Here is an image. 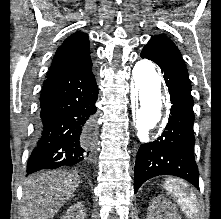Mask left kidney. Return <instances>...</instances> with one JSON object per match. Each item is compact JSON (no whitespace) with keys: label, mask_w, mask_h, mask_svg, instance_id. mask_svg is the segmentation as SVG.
<instances>
[{"label":"left kidney","mask_w":221,"mask_h":219,"mask_svg":"<svg viewBox=\"0 0 221 219\" xmlns=\"http://www.w3.org/2000/svg\"><path fill=\"white\" fill-rule=\"evenodd\" d=\"M147 219H180L172 204L163 197L154 198L149 204Z\"/></svg>","instance_id":"left-kidney-1"}]
</instances>
